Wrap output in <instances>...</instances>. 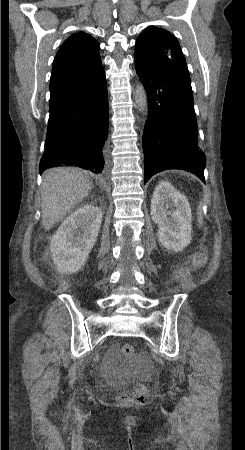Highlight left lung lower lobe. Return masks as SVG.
<instances>
[{
  "label": "left lung lower lobe",
  "mask_w": 245,
  "mask_h": 450,
  "mask_svg": "<svg viewBox=\"0 0 245 450\" xmlns=\"http://www.w3.org/2000/svg\"><path fill=\"white\" fill-rule=\"evenodd\" d=\"M146 90L148 118L143 132L144 184L156 173L182 169L204 180L205 154L198 146L193 98L167 75L135 65Z\"/></svg>",
  "instance_id": "obj_1"
}]
</instances>
